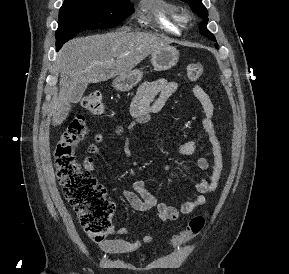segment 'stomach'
<instances>
[{"label":"stomach","mask_w":289,"mask_h":274,"mask_svg":"<svg viewBox=\"0 0 289 274\" xmlns=\"http://www.w3.org/2000/svg\"><path fill=\"white\" fill-rule=\"evenodd\" d=\"M179 59V52L171 46H166L151 54L153 67L158 71H164L175 66ZM142 79V72L134 69L127 74L117 76L113 81V87L118 91H129Z\"/></svg>","instance_id":"1"}]
</instances>
